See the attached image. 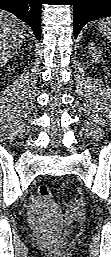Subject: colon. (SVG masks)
Here are the masks:
<instances>
[{
  "instance_id": "obj_1",
  "label": "colon",
  "mask_w": 111,
  "mask_h": 257,
  "mask_svg": "<svg viewBox=\"0 0 111 257\" xmlns=\"http://www.w3.org/2000/svg\"><path fill=\"white\" fill-rule=\"evenodd\" d=\"M51 195L52 191L49 187L41 186L36 197V201L38 202L39 206L42 208H52L53 205L50 201Z\"/></svg>"
}]
</instances>
